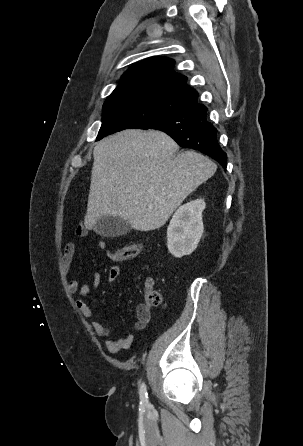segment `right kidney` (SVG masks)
<instances>
[{
  "label": "right kidney",
  "instance_id": "ca27d5eb",
  "mask_svg": "<svg viewBox=\"0 0 303 446\" xmlns=\"http://www.w3.org/2000/svg\"><path fill=\"white\" fill-rule=\"evenodd\" d=\"M203 199L190 201L180 206L167 228V247L175 258L191 254L196 248L204 231L202 212Z\"/></svg>",
  "mask_w": 303,
  "mask_h": 446
}]
</instances>
